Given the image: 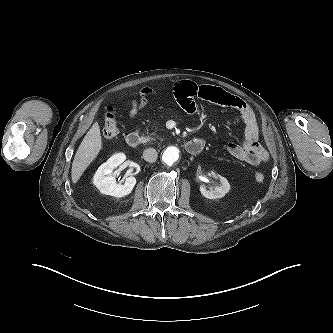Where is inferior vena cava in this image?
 Masks as SVG:
<instances>
[{
	"label": "inferior vena cava",
	"mask_w": 333,
	"mask_h": 333,
	"mask_svg": "<svg viewBox=\"0 0 333 333\" xmlns=\"http://www.w3.org/2000/svg\"><path fill=\"white\" fill-rule=\"evenodd\" d=\"M158 153L154 148H147L143 152V158L147 162H155L157 160Z\"/></svg>",
	"instance_id": "obj_1"
}]
</instances>
